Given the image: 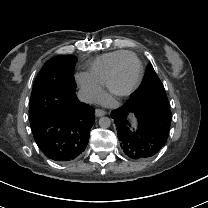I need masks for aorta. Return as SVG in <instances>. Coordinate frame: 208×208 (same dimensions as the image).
I'll return each instance as SVG.
<instances>
[{
  "label": "aorta",
  "instance_id": "aorta-1",
  "mask_svg": "<svg viewBox=\"0 0 208 208\" xmlns=\"http://www.w3.org/2000/svg\"><path fill=\"white\" fill-rule=\"evenodd\" d=\"M111 125V120L108 117H101L99 119V126L102 128H109Z\"/></svg>",
  "mask_w": 208,
  "mask_h": 208
}]
</instances>
